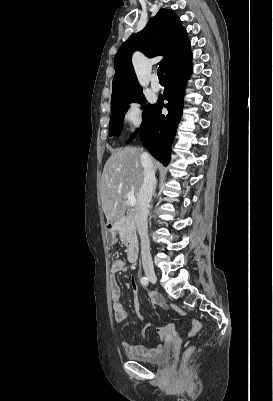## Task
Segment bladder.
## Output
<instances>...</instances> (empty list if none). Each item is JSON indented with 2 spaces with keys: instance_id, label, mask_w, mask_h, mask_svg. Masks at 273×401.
I'll list each match as a JSON object with an SVG mask.
<instances>
[{
  "instance_id": "obj_1",
  "label": "bladder",
  "mask_w": 273,
  "mask_h": 401,
  "mask_svg": "<svg viewBox=\"0 0 273 401\" xmlns=\"http://www.w3.org/2000/svg\"><path fill=\"white\" fill-rule=\"evenodd\" d=\"M172 356V351H171V347L167 346L163 349V351L161 352V354L152 360H148V359H143L137 356H131L130 358L134 361L146 364V365H151V366H160V365H164L167 362H169V360L171 359Z\"/></svg>"
}]
</instances>
